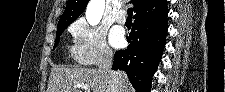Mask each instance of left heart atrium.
Returning <instances> with one entry per match:
<instances>
[{"label": "left heart atrium", "instance_id": "39dd6f15", "mask_svg": "<svg viewBox=\"0 0 225 92\" xmlns=\"http://www.w3.org/2000/svg\"><path fill=\"white\" fill-rule=\"evenodd\" d=\"M110 41L114 47H120L124 43V35L121 30L113 29L110 34Z\"/></svg>", "mask_w": 225, "mask_h": 92}]
</instances>
